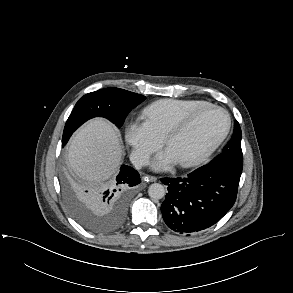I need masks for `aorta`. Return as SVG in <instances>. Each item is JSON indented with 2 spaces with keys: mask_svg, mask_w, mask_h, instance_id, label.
<instances>
[{
  "mask_svg": "<svg viewBox=\"0 0 293 293\" xmlns=\"http://www.w3.org/2000/svg\"><path fill=\"white\" fill-rule=\"evenodd\" d=\"M165 188L160 183H153L149 186L148 195L154 200L162 199L165 196Z\"/></svg>",
  "mask_w": 293,
  "mask_h": 293,
  "instance_id": "aorta-1",
  "label": "aorta"
}]
</instances>
